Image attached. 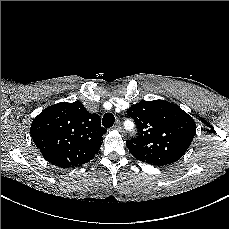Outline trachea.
Returning a JSON list of instances; mask_svg holds the SVG:
<instances>
[{
  "instance_id": "trachea-1",
  "label": "trachea",
  "mask_w": 229,
  "mask_h": 229,
  "mask_svg": "<svg viewBox=\"0 0 229 229\" xmlns=\"http://www.w3.org/2000/svg\"><path fill=\"white\" fill-rule=\"evenodd\" d=\"M114 122H115V117H114V115L112 113L104 114L103 119H102V125L105 128L112 127Z\"/></svg>"
}]
</instances>
